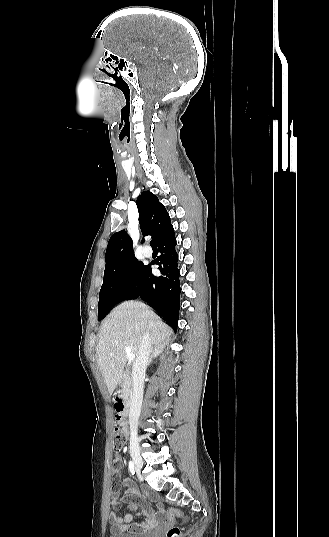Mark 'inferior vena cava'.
<instances>
[{
  "label": "inferior vena cava",
  "instance_id": "1",
  "mask_svg": "<svg viewBox=\"0 0 329 537\" xmlns=\"http://www.w3.org/2000/svg\"><path fill=\"white\" fill-rule=\"evenodd\" d=\"M151 352V337L149 332L142 336L139 351L132 367L133 392L129 411V425L133 433H137L138 419L141 413L143 400V378Z\"/></svg>",
  "mask_w": 329,
  "mask_h": 537
}]
</instances>
